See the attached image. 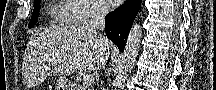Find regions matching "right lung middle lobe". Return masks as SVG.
Returning <instances> with one entry per match:
<instances>
[{"mask_svg":"<svg viewBox=\"0 0 216 90\" xmlns=\"http://www.w3.org/2000/svg\"><path fill=\"white\" fill-rule=\"evenodd\" d=\"M39 7H40V0H34V10L32 13L31 20H30L29 25H28L29 28H32L38 20Z\"/></svg>","mask_w":216,"mask_h":90,"instance_id":"right-lung-middle-lobe-1","label":"right lung middle lobe"}]
</instances>
